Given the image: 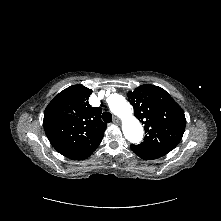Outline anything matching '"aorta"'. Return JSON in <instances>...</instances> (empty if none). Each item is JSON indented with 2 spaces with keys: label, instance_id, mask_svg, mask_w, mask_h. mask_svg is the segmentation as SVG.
I'll return each mask as SVG.
<instances>
[{
  "label": "aorta",
  "instance_id": "obj_1",
  "mask_svg": "<svg viewBox=\"0 0 221 221\" xmlns=\"http://www.w3.org/2000/svg\"><path fill=\"white\" fill-rule=\"evenodd\" d=\"M107 103L111 112L121 118L125 138L131 143H139L143 138V127L133 115L130 103L118 93L110 94Z\"/></svg>",
  "mask_w": 221,
  "mask_h": 221
}]
</instances>
